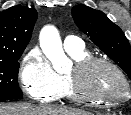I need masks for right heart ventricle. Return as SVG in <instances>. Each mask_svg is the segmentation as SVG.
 Wrapping results in <instances>:
<instances>
[{
	"mask_svg": "<svg viewBox=\"0 0 131 115\" xmlns=\"http://www.w3.org/2000/svg\"><path fill=\"white\" fill-rule=\"evenodd\" d=\"M67 52L70 55V57L74 60L75 63L91 56L90 53L85 48H83L81 50L67 51ZM60 78L62 81V89H61L59 96L67 97L70 100L75 101V102H84L81 100H77L73 97V95L70 91V87H69L68 75L60 76Z\"/></svg>",
	"mask_w": 131,
	"mask_h": 115,
	"instance_id": "obj_1",
	"label": "right heart ventricle"
}]
</instances>
